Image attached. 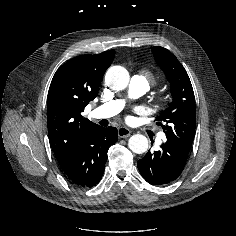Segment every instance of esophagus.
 Returning a JSON list of instances; mask_svg holds the SVG:
<instances>
[{"instance_id": "esophagus-1", "label": "esophagus", "mask_w": 236, "mask_h": 236, "mask_svg": "<svg viewBox=\"0 0 236 236\" xmlns=\"http://www.w3.org/2000/svg\"><path fill=\"white\" fill-rule=\"evenodd\" d=\"M130 133H131V131L126 127H119L118 128V136L120 138L128 137V136H130Z\"/></svg>"}]
</instances>
